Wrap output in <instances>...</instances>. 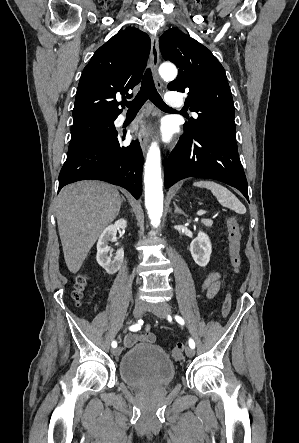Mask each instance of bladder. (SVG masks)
<instances>
[{
    "label": "bladder",
    "mask_w": 299,
    "mask_h": 443,
    "mask_svg": "<svg viewBox=\"0 0 299 443\" xmlns=\"http://www.w3.org/2000/svg\"><path fill=\"white\" fill-rule=\"evenodd\" d=\"M120 378L137 389H160L170 386L176 367L157 344L140 343L128 349L119 361Z\"/></svg>",
    "instance_id": "obj_1"
}]
</instances>
